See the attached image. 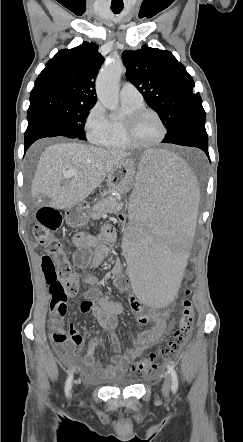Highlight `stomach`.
<instances>
[{
    "label": "stomach",
    "mask_w": 243,
    "mask_h": 442,
    "mask_svg": "<svg viewBox=\"0 0 243 442\" xmlns=\"http://www.w3.org/2000/svg\"><path fill=\"white\" fill-rule=\"evenodd\" d=\"M134 175H136L134 162L130 159L122 160L109 172L107 176L108 187L125 194L130 191ZM88 215V206L78 203L66 210L65 220L71 227H81L86 224Z\"/></svg>",
    "instance_id": "0dacf381"
}]
</instances>
